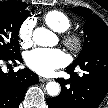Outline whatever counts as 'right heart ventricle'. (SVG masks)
<instances>
[{"instance_id":"e07e8e85","label":"right heart ventricle","mask_w":108,"mask_h":108,"mask_svg":"<svg viewBox=\"0 0 108 108\" xmlns=\"http://www.w3.org/2000/svg\"><path fill=\"white\" fill-rule=\"evenodd\" d=\"M43 19L45 23L54 31L63 33L71 27L70 18L63 12L52 10L47 12Z\"/></svg>"}]
</instances>
